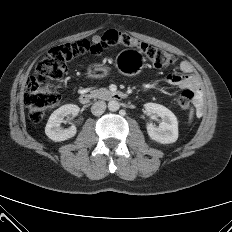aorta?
<instances>
[{
	"instance_id": "762f6f07",
	"label": "aorta",
	"mask_w": 232,
	"mask_h": 232,
	"mask_svg": "<svg viewBox=\"0 0 232 232\" xmlns=\"http://www.w3.org/2000/svg\"><path fill=\"white\" fill-rule=\"evenodd\" d=\"M119 108H120V104H119L118 101H116V100L109 101V103H108V109L110 111L115 112V111L119 110Z\"/></svg>"
}]
</instances>
